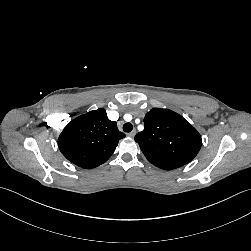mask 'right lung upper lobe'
Masks as SVG:
<instances>
[{
  "mask_svg": "<svg viewBox=\"0 0 251 251\" xmlns=\"http://www.w3.org/2000/svg\"><path fill=\"white\" fill-rule=\"evenodd\" d=\"M124 137L105 109H98L72 120L60 134L58 146L70 162L90 169L106 162Z\"/></svg>",
  "mask_w": 251,
  "mask_h": 251,
  "instance_id": "obj_1",
  "label": "right lung upper lobe"
}]
</instances>
